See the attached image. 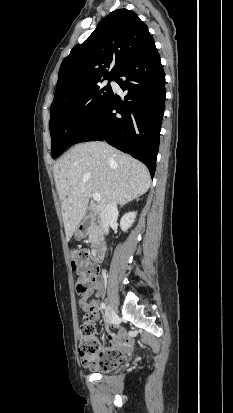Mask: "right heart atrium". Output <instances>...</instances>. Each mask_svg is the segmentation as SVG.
<instances>
[{
  "label": "right heart atrium",
  "mask_w": 233,
  "mask_h": 413,
  "mask_svg": "<svg viewBox=\"0 0 233 413\" xmlns=\"http://www.w3.org/2000/svg\"><path fill=\"white\" fill-rule=\"evenodd\" d=\"M90 115V107L89 104H83L80 108V116L81 118L85 119Z\"/></svg>",
  "instance_id": "d8ad5b80"
}]
</instances>
